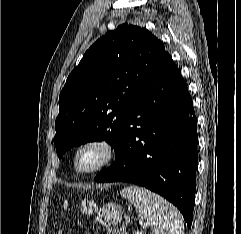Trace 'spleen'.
Instances as JSON below:
<instances>
[{
	"label": "spleen",
	"mask_w": 241,
	"mask_h": 234,
	"mask_svg": "<svg viewBox=\"0 0 241 234\" xmlns=\"http://www.w3.org/2000/svg\"><path fill=\"white\" fill-rule=\"evenodd\" d=\"M152 228V234H184V223L176 208L160 195L140 186L121 191Z\"/></svg>",
	"instance_id": "obj_1"
}]
</instances>
